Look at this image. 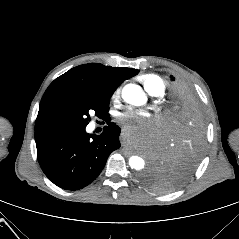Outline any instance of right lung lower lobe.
Segmentation results:
<instances>
[{
    "mask_svg": "<svg viewBox=\"0 0 239 239\" xmlns=\"http://www.w3.org/2000/svg\"><path fill=\"white\" fill-rule=\"evenodd\" d=\"M85 127L35 131L39 164L60 188L78 190L89 185L120 147L121 129L115 123H109L100 135H89Z\"/></svg>",
    "mask_w": 239,
    "mask_h": 239,
    "instance_id": "98d812e1",
    "label": "right lung lower lobe"
}]
</instances>
